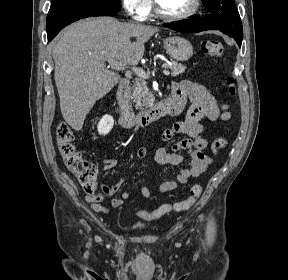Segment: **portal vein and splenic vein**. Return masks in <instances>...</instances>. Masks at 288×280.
Instances as JSON below:
<instances>
[{
    "label": "portal vein and splenic vein",
    "mask_w": 288,
    "mask_h": 280,
    "mask_svg": "<svg viewBox=\"0 0 288 280\" xmlns=\"http://www.w3.org/2000/svg\"><path fill=\"white\" fill-rule=\"evenodd\" d=\"M108 62H109V64L111 65V67L113 68V69H115V70H121V69H125L126 68V65L125 64H123V63H121V62H118V61H115L114 59H112V58H107L106 59ZM164 70H163V73H164V75H170V72H169V70H167L166 68V66H164ZM137 75H140V76H142V77H144V78H148L149 77V74L148 73H146L144 70H142V69H140V68H138V67H132L131 68Z\"/></svg>",
    "instance_id": "obj_1"
}]
</instances>
